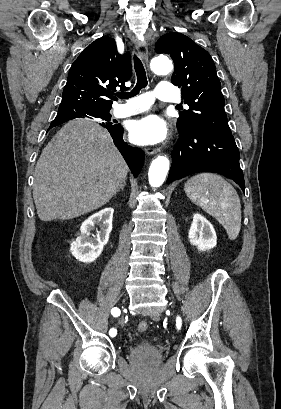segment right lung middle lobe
<instances>
[{"instance_id": "1", "label": "right lung middle lobe", "mask_w": 281, "mask_h": 409, "mask_svg": "<svg viewBox=\"0 0 281 409\" xmlns=\"http://www.w3.org/2000/svg\"><path fill=\"white\" fill-rule=\"evenodd\" d=\"M110 117H111V115H110L109 112H101L99 119L109 121ZM69 120H70V118H55V120L51 123L50 128H52L54 126H57V125H60V124L66 122V121H69Z\"/></svg>"}]
</instances>
